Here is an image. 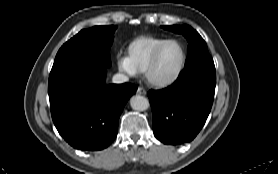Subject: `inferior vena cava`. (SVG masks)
Listing matches in <instances>:
<instances>
[{
	"mask_svg": "<svg viewBox=\"0 0 278 174\" xmlns=\"http://www.w3.org/2000/svg\"><path fill=\"white\" fill-rule=\"evenodd\" d=\"M128 80H129V78L126 75L121 74V73L115 74L112 78V82L116 83V84H122V83L127 82Z\"/></svg>",
	"mask_w": 278,
	"mask_h": 174,
	"instance_id": "602c4592",
	"label": "inferior vena cava"
}]
</instances>
